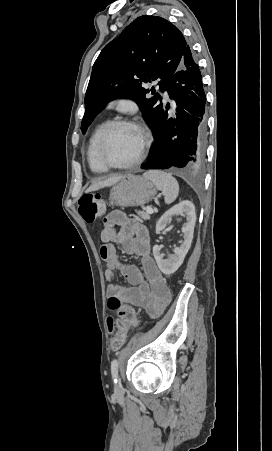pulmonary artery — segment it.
Listing matches in <instances>:
<instances>
[{
  "mask_svg": "<svg viewBox=\"0 0 272 451\" xmlns=\"http://www.w3.org/2000/svg\"><path fill=\"white\" fill-rule=\"evenodd\" d=\"M164 97H165V99H166V100H168V101H169V100H171V99H172V97H173V96H172L171 92H170V91L168 90V91L166 92V94H165V96H164Z\"/></svg>",
  "mask_w": 272,
  "mask_h": 451,
  "instance_id": "e3ab8cb5",
  "label": "pulmonary artery"
}]
</instances>
